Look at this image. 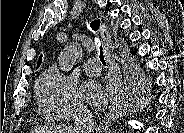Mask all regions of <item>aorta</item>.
I'll use <instances>...</instances> for the list:
<instances>
[{
	"label": "aorta",
	"instance_id": "1",
	"mask_svg": "<svg viewBox=\"0 0 184 133\" xmlns=\"http://www.w3.org/2000/svg\"><path fill=\"white\" fill-rule=\"evenodd\" d=\"M79 54L80 47L77 44L65 46L58 58L60 70L69 72L76 64Z\"/></svg>",
	"mask_w": 184,
	"mask_h": 133
}]
</instances>
